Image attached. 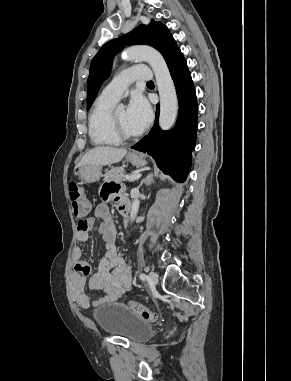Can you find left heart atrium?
Masks as SVG:
<instances>
[{
  "label": "left heart atrium",
  "instance_id": "left-heart-atrium-1",
  "mask_svg": "<svg viewBox=\"0 0 291 381\" xmlns=\"http://www.w3.org/2000/svg\"><path fill=\"white\" fill-rule=\"evenodd\" d=\"M127 112L139 132L143 131L152 119V110L149 103L144 96L138 93L131 97Z\"/></svg>",
  "mask_w": 291,
  "mask_h": 381
}]
</instances>
